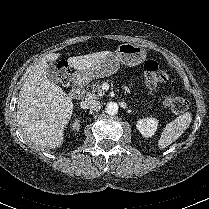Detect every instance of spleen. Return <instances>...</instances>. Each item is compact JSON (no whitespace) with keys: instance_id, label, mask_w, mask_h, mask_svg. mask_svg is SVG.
I'll return each mask as SVG.
<instances>
[{"instance_id":"spleen-1","label":"spleen","mask_w":209,"mask_h":209,"mask_svg":"<svg viewBox=\"0 0 209 209\" xmlns=\"http://www.w3.org/2000/svg\"><path fill=\"white\" fill-rule=\"evenodd\" d=\"M192 121V115L190 112H186L174 121L168 123L158 140V146L160 149H165L167 146L171 145L175 140H177L184 131L188 128Z\"/></svg>"}]
</instances>
